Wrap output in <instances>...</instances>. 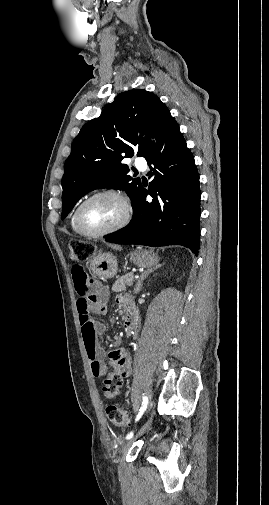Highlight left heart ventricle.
<instances>
[{
    "instance_id": "obj_1",
    "label": "left heart ventricle",
    "mask_w": 269,
    "mask_h": 505,
    "mask_svg": "<svg viewBox=\"0 0 269 505\" xmlns=\"http://www.w3.org/2000/svg\"><path fill=\"white\" fill-rule=\"evenodd\" d=\"M123 214L124 207L120 200L112 196H103L84 207L81 219L88 229L101 231L118 223Z\"/></svg>"
}]
</instances>
